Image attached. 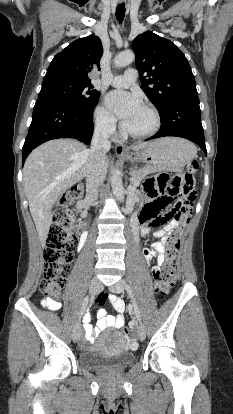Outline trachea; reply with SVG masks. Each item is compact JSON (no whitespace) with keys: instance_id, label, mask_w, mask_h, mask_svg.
I'll use <instances>...</instances> for the list:
<instances>
[{"instance_id":"obj_1","label":"trachea","mask_w":233,"mask_h":414,"mask_svg":"<svg viewBox=\"0 0 233 414\" xmlns=\"http://www.w3.org/2000/svg\"><path fill=\"white\" fill-rule=\"evenodd\" d=\"M125 17V4L121 3L116 8V18L121 23Z\"/></svg>"}]
</instances>
